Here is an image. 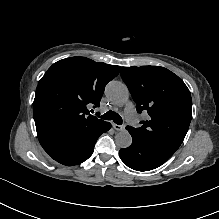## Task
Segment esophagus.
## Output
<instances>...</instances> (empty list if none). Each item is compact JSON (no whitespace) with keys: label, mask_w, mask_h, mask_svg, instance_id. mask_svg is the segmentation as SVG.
I'll list each match as a JSON object with an SVG mask.
<instances>
[{"label":"esophagus","mask_w":219,"mask_h":219,"mask_svg":"<svg viewBox=\"0 0 219 219\" xmlns=\"http://www.w3.org/2000/svg\"><path fill=\"white\" fill-rule=\"evenodd\" d=\"M113 128L117 131H122L125 129L124 125L113 124Z\"/></svg>","instance_id":"obj_1"}]
</instances>
